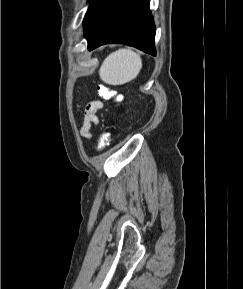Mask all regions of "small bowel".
Masks as SVG:
<instances>
[{
	"instance_id": "small-bowel-1",
	"label": "small bowel",
	"mask_w": 243,
	"mask_h": 289,
	"mask_svg": "<svg viewBox=\"0 0 243 289\" xmlns=\"http://www.w3.org/2000/svg\"><path fill=\"white\" fill-rule=\"evenodd\" d=\"M102 108L103 103L99 100L92 101L87 105L80 128V132L84 137L89 138L91 136L89 130L93 124H98L97 112Z\"/></svg>"
}]
</instances>
